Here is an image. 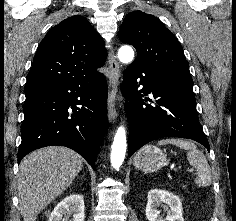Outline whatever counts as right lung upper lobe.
<instances>
[{"instance_id":"1","label":"right lung upper lobe","mask_w":236,"mask_h":221,"mask_svg":"<svg viewBox=\"0 0 236 221\" xmlns=\"http://www.w3.org/2000/svg\"><path fill=\"white\" fill-rule=\"evenodd\" d=\"M101 36L82 16H71L49 30L40 43L27 76L25 91L88 77L104 65Z\"/></svg>"}]
</instances>
